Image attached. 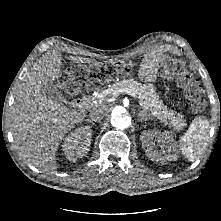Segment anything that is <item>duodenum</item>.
I'll return each mask as SVG.
<instances>
[{"label":"duodenum","instance_id":"1","mask_svg":"<svg viewBox=\"0 0 221 221\" xmlns=\"http://www.w3.org/2000/svg\"><path fill=\"white\" fill-rule=\"evenodd\" d=\"M83 103H84L83 98H77L72 101L73 107L78 108V109L82 107Z\"/></svg>","mask_w":221,"mask_h":221}]
</instances>
